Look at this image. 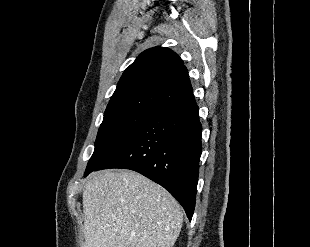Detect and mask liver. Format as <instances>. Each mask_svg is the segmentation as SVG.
<instances>
[{"instance_id":"1","label":"liver","mask_w":310,"mask_h":247,"mask_svg":"<svg viewBox=\"0 0 310 247\" xmlns=\"http://www.w3.org/2000/svg\"><path fill=\"white\" fill-rule=\"evenodd\" d=\"M83 209L84 247H172L183 222L168 191L130 170L94 173Z\"/></svg>"}]
</instances>
